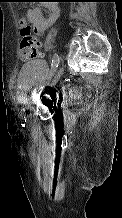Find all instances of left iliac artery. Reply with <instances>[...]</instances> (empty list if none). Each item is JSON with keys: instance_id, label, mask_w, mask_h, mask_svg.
Listing matches in <instances>:
<instances>
[{"instance_id": "1", "label": "left iliac artery", "mask_w": 122, "mask_h": 218, "mask_svg": "<svg viewBox=\"0 0 122 218\" xmlns=\"http://www.w3.org/2000/svg\"><path fill=\"white\" fill-rule=\"evenodd\" d=\"M61 62V58L57 53L53 54L52 57V63H51V69H50V76H53L54 73L56 72L57 67L59 66ZM25 108H23L20 112V115H24Z\"/></svg>"}]
</instances>
